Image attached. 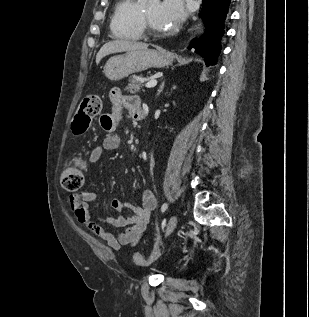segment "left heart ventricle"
Here are the masks:
<instances>
[{"label": "left heart ventricle", "instance_id": "left-heart-ventricle-1", "mask_svg": "<svg viewBox=\"0 0 309 317\" xmlns=\"http://www.w3.org/2000/svg\"><path fill=\"white\" fill-rule=\"evenodd\" d=\"M159 9H160V4L156 3V4H153V5L145 8L144 13H145L149 23L151 24V26L155 30L162 32L165 29L162 27V25L159 21Z\"/></svg>", "mask_w": 309, "mask_h": 317}]
</instances>
